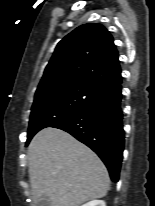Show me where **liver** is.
Returning <instances> with one entry per match:
<instances>
[{
    "instance_id": "6515ba94",
    "label": "liver",
    "mask_w": 155,
    "mask_h": 206,
    "mask_svg": "<svg viewBox=\"0 0 155 206\" xmlns=\"http://www.w3.org/2000/svg\"><path fill=\"white\" fill-rule=\"evenodd\" d=\"M32 199L46 196L51 206H79L106 196L108 171L87 146L60 129L39 131L28 147Z\"/></svg>"
}]
</instances>
